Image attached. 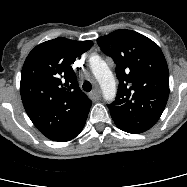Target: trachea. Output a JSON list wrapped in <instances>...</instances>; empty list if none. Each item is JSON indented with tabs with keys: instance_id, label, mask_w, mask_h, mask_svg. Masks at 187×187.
<instances>
[{
	"instance_id": "obj_1",
	"label": "trachea",
	"mask_w": 187,
	"mask_h": 187,
	"mask_svg": "<svg viewBox=\"0 0 187 187\" xmlns=\"http://www.w3.org/2000/svg\"><path fill=\"white\" fill-rule=\"evenodd\" d=\"M83 90L86 92H90L92 89V85L89 81H85L82 86Z\"/></svg>"
}]
</instances>
